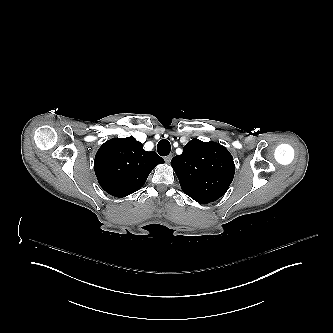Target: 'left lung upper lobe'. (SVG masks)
Segmentation results:
<instances>
[{
    "instance_id": "5c2ea615",
    "label": "left lung upper lobe",
    "mask_w": 333,
    "mask_h": 333,
    "mask_svg": "<svg viewBox=\"0 0 333 333\" xmlns=\"http://www.w3.org/2000/svg\"><path fill=\"white\" fill-rule=\"evenodd\" d=\"M171 165L184 193L200 204L223 196L235 173L233 157L224 146L196 138L171 160Z\"/></svg>"
}]
</instances>
